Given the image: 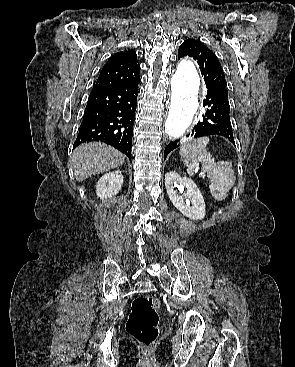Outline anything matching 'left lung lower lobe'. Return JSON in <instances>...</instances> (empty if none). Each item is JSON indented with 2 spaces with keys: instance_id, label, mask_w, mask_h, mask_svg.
I'll list each match as a JSON object with an SVG mask.
<instances>
[{
  "instance_id": "1",
  "label": "left lung lower lobe",
  "mask_w": 295,
  "mask_h": 367,
  "mask_svg": "<svg viewBox=\"0 0 295 367\" xmlns=\"http://www.w3.org/2000/svg\"><path fill=\"white\" fill-rule=\"evenodd\" d=\"M207 89L206 98L203 100L204 106H207V109L202 115V118L196 123L192 133L188 136L198 138L219 135L235 144L230 121L227 89L214 84H209ZM179 145V139L170 142L165 148L164 159Z\"/></svg>"
}]
</instances>
